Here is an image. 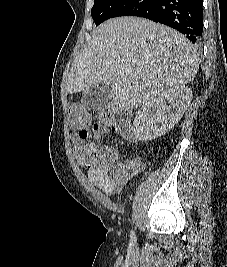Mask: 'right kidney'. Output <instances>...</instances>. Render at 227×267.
<instances>
[{"instance_id": "obj_1", "label": "right kidney", "mask_w": 227, "mask_h": 267, "mask_svg": "<svg viewBox=\"0 0 227 267\" xmlns=\"http://www.w3.org/2000/svg\"><path fill=\"white\" fill-rule=\"evenodd\" d=\"M192 101L185 85L170 88L143 104L133 122L135 140L148 141L168 132L182 118Z\"/></svg>"}]
</instances>
